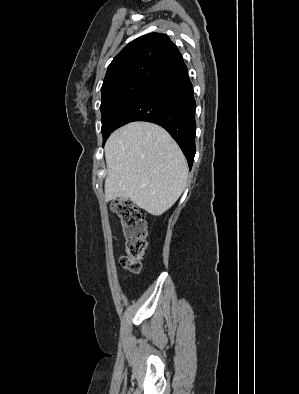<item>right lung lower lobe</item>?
I'll use <instances>...</instances> for the list:
<instances>
[{"mask_svg":"<svg viewBox=\"0 0 299 394\" xmlns=\"http://www.w3.org/2000/svg\"><path fill=\"white\" fill-rule=\"evenodd\" d=\"M195 108L193 86L183 63L142 92L123 113L114 130L133 121L162 126L178 143L191 169L196 152Z\"/></svg>","mask_w":299,"mask_h":394,"instance_id":"right-lung-lower-lobe-1","label":"right lung lower lobe"}]
</instances>
